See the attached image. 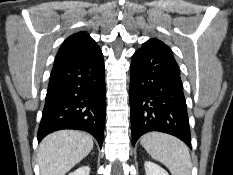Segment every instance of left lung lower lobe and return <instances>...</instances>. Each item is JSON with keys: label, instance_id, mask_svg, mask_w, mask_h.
<instances>
[{"label": "left lung lower lobe", "instance_id": "1", "mask_svg": "<svg viewBox=\"0 0 233 175\" xmlns=\"http://www.w3.org/2000/svg\"><path fill=\"white\" fill-rule=\"evenodd\" d=\"M132 141L150 131L171 134L191 148L189 120L175 59L143 44L130 66Z\"/></svg>", "mask_w": 233, "mask_h": 175}]
</instances>
